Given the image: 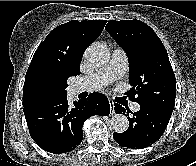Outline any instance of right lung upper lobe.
I'll list each match as a JSON object with an SVG mask.
<instances>
[{
	"instance_id": "right-lung-upper-lobe-1",
	"label": "right lung upper lobe",
	"mask_w": 196,
	"mask_h": 166,
	"mask_svg": "<svg viewBox=\"0 0 196 166\" xmlns=\"http://www.w3.org/2000/svg\"><path fill=\"white\" fill-rule=\"evenodd\" d=\"M106 20L69 21L53 29L34 53L23 88V106L30 103L29 91L38 78L67 85L70 76L80 74V62L86 48L101 34Z\"/></svg>"
}]
</instances>
